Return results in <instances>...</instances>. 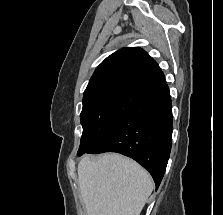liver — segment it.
<instances>
[{"mask_svg": "<svg viewBox=\"0 0 223 215\" xmlns=\"http://www.w3.org/2000/svg\"><path fill=\"white\" fill-rule=\"evenodd\" d=\"M77 171L88 215H140L154 187L148 171L120 153L84 155Z\"/></svg>", "mask_w": 223, "mask_h": 215, "instance_id": "obj_1", "label": "liver"}]
</instances>
